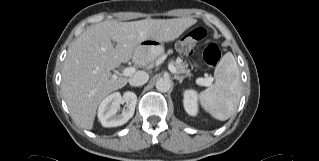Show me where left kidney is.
Returning a JSON list of instances; mask_svg holds the SVG:
<instances>
[{
	"label": "left kidney",
	"instance_id": "obj_1",
	"mask_svg": "<svg viewBox=\"0 0 319 161\" xmlns=\"http://www.w3.org/2000/svg\"><path fill=\"white\" fill-rule=\"evenodd\" d=\"M185 111L191 115L195 116L198 113V104H197V93L195 90H185L184 91V100H183Z\"/></svg>",
	"mask_w": 319,
	"mask_h": 161
}]
</instances>
